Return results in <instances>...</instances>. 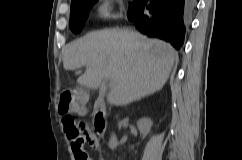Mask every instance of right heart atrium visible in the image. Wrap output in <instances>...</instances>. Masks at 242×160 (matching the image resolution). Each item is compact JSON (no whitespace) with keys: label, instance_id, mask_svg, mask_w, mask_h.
I'll return each instance as SVG.
<instances>
[{"label":"right heart atrium","instance_id":"obj_1","mask_svg":"<svg viewBox=\"0 0 242 160\" xmlns=\"http://www.w3.org/2000/svg\"><path fill=\"white\" fill-rule=\"evenodd\" d=\"M96 11L100 18L108 19L114 16V8L111 0H100L97 4Z\"/></svg>","mask_w":242,"mask_h":160}]
</instances>
